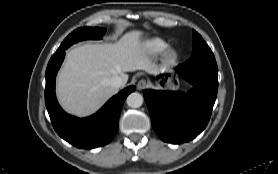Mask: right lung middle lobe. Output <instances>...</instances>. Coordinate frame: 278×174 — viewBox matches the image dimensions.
I'll return each mask as SVG.
<instances>
[{"label":"right lung middle lobe","mask_w":278,"mask_h":174,"mask_svg":"<svg viewBox=\"0 0 278 174\" xmlns=\"http://www.w3.org/2000/svg\"><path fill=\"white\" fill-rule=\"evenodd\" d=\"M106 29L98 27H83L74 30L62 42L58 49H67L70 45L84 39H101Z\"/></svg>","instance_id":"1"}]
</instances>
